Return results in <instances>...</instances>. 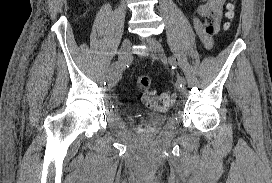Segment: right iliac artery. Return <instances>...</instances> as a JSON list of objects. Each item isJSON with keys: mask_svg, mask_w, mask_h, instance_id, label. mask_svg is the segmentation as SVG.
Masks as SVG:
<instances>
[{"mask_svg": "<svg viewBox=\"0 0 272 183\" xmlns=\"http://www.w3.org/2000/svg\"><path fill=\"white\" fill-rule=\"evenodd\" d=\"M117 64H118V62H114V63L111 65L110 69H115L116 66H117ZM118 71H119V70H118ZM118 71H117V70H112V71H111V74H112V75H117V74H118Z\"/></svg>", "mask_w": 272, "mask_h": 183, "instance_id": "1", "label": "right iliac artery"}]
</instances>
